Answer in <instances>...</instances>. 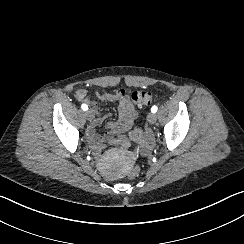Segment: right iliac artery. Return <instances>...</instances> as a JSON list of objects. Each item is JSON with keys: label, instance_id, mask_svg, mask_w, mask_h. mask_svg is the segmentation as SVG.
<instances>
[{"label": "right iliac artery", "instance_id": "obj_1", "mask_svg": "<svg viewBox=\"0 0 244 244\" xmlns=\"http://www.w3.org/2000/svg\"><path fill=\"white\" fill-rule=\"evenodd\" d=\"M81 108H82L84 111L88 110V106H87L86 104H82V105H81Z\"/></svg>", "mask_w": 244, "mask_h": 244}]
</instances>
